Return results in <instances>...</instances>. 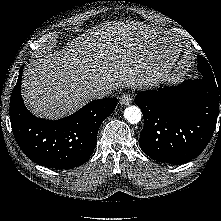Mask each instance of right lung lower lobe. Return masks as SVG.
<instances>
[{
    "instance_id": "98d812e1",
    "label": "right lung lower lobe",
    "mask_w": 221,
    "mask_h": 221,
    "mask_svg": "<svg viewBox=\"0 0 221 221\" xmlns=\"http://www.w3.org/2000/svg\"><path fill=\"white\" fill-rule=\"evenodd\" d=\"M22 66L10 99V121L16 142L35 163L71 169L92 155L101 123L114 111L117 98L92 101L60 120L39 119L25 107L21 97Z\"/></svg>"
}]
</instances>
